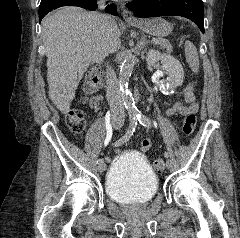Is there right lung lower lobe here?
Returning a JSON list of instances; mask_svg holds the SVG:
<instances>
[{
	"mask_svg": "<svg viewBox=\"0 0 240 238\" xmlns=\"http://www.w3.org/2000/svg\"><path fill=\"white\" fill-rule=\"evenodd\" d=\"M95 2L96 0H56L51 5H49L47 9H45L42 12H39V21L41 22L42 18L53 9L66 6V5H73V6L83 7L89 10H96L97 4ZM106 12L113 15H117V7L113 4L108 5L106 7Z\"/></svg>",
	"mask_w": 240,
	"mask_h": 238,
	"instance_id": "1",
	"label": "right lung lower lobe"
}]
</instances>
